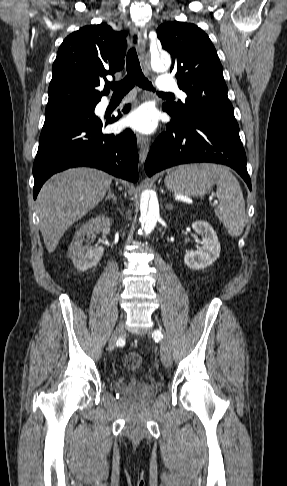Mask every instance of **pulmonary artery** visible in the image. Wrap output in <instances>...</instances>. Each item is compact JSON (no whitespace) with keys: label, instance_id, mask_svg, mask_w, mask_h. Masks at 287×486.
<instances>
[{"label":"pulmonary artery","instance_id":"e3ab8cb5","mask_svg":"<svg viewBox=\"0 0 287 486\" xmlns=\"http://www.w3.org/2000/svg\"><path fill=\"white\" fill-rule=\"evenodd\" d=\"M157 86L161 92H178L182 97H185V94L179 90L176 81L170 76H160Z\"/></svg>","mask_w":287,"mask_h":486}]
</instances>
